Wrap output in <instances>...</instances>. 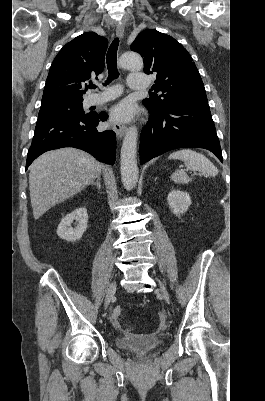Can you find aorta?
<instances>
[{
    "instance_id": "obj_1",
    "label": "aorta",
    "mask_w": 265,
    "mask_h": 401,
    "mask_svg": "<svg viewBox=\"0 0 265 401\" xmlns=\"http://www.w3.org/2000/svg\"><path fill=\"white\" fill-rule=\"evenodd\" d=\"M121 64L124 68H142L143 60L136 52H124L121 56ZM137 126H129L121 146V178L123 186L131 190L137 184L139 170L137 166Z\"/></svg>"
}]
</instances>
